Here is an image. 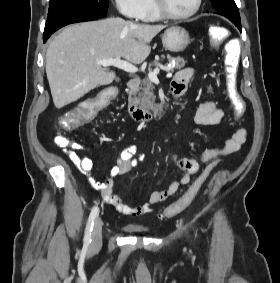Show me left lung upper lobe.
<instances>
[{
    "label": "left lung upper lobe",
    "instance_id": "left-lung-upper-lobe-1",
    "mask_svg": "<svg viewBox=\"0 0 280 283\" xmlns=\"http://www.w3.org/2000/svg\"><path fill=\"white\" fill-rule=\"evenodd\" d=\"M217 13L227 17L230 21H239L240 15L234 0H210Z\"/></svg>",
    "mask_w": 280,
    "mask_h": 283
}]
</instances>
